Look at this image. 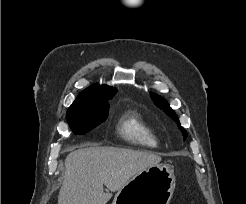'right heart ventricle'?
<instances>
[{
    "mask_svg": "<svg viewBox=\"0 0 246 204\" xmlns=\"http://www.w3.org/2000/svg\"><path fill=\"white\" fill-rule=\"evenodd\" d=\"M117 133L129 144L153 148L158 145L154 129L136 112L122 115L117 125Z\"/></svg>",
    "mask_w": 246,
    "mask_h": 204,
    "instance_id": "1",
    "label": "right heart ventricle"
}]
</instances>
